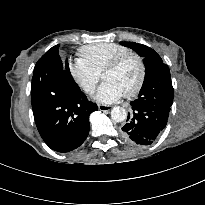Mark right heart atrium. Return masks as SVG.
I'll return each instance as SVG.
<instances>
[{"label":"right heart atrium","instance_id":"1","mask_svg":"<svg viewBox=\"0 0 205 205\" xmlns=\"http://www.w3.org/2000/svg\"><path fill=\"white\" fill-rule=\"evenodd\" d=\"M69 74L75 84L86 94H92L100 80V74L81 58L70 61Z\"/></svg>","mask_w":205,"mask_h":205}]
</instances>
